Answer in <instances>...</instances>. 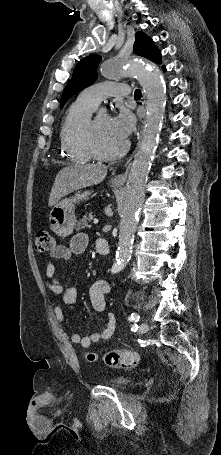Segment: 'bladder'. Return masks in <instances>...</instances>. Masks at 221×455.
<instances>
[{"mask_svg":"<svg viewBox=\"0 0 221 455\" xmlns=\"http://www.w3.org/2000/svg\"><path fill=\"white\" fill-rule=\"evenodd\" d=\"M131 382H132V379L130 377L121 375V376H117L116 378L112 379L109 382V384L112 387L122 389V388L127 387Z\"/></svg>","mask_w":221,"mask_h":455,"instance_id":"31cf9c89","label":"bladder"}]
</instances>
